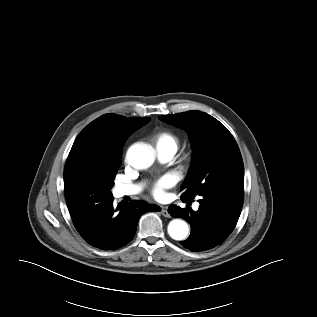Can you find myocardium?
I'll return each mask as SVG.
<instances>
[{
	"label": "myocardium",
	"instance_id": "f54148a6",
	"mask_svg": "<svg viewBox=\"0 0 317 317\" xmlns=\"http://www.w3.org/2000/svg\"><path fill=\"white\" fill-rule=\"evenodd\" d=\"M190 159V154H187L186 156H185V160H189Z\"/></svg>",
	"mask_w": 317,
	"mask_h": 317
}]
</instances>
